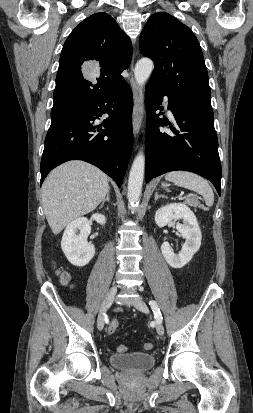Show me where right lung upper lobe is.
<instances>
[{
  "instance_id": "obj_1",
  "label": "right lung upper lobe",
  "mask_w": 253,
  "mask_h": 413,
  "mask_svg": "<svg viewBox=\"0 0 253 413\" xmlns=\"http://www.w3.org/2000/svg\"><path fill=\"white\" fill-rule=\"evenodd\" d=\"M131 58V41L110 15L96 13L86 18L64 43L51 118L67 115L123 83L121 73ZM85 63L91 64L97 78L83 77Z\"/></svg>"
}]
</instances>
